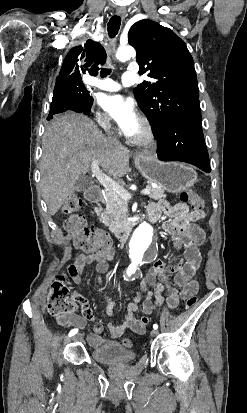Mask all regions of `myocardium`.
<instances>
[{"mask_svg": "<svg viewBox=\"0 0 247 413\" xmlns=\"http://www.w3.org/2000/svg\"><path fill=\"white\" fill-rule=\"evenodd\" d=\"M143 126L145 127L146 133L141 138H128L130 144L138 147H149L153 145L157 140V133L154 125L148 119L142 121ZM95 130V129H94Z\"/></svg>", "mask_w": 247, "mask_h": 413, "instance_id": "myocardium-1", "label": "myocardium"}]
</instances>
